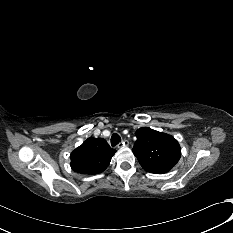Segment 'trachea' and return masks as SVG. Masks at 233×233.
<instances>
[{
  "label": "trachea",
  "instance_id": "trachea-1",
  "mask_svg": "<svg viewBox=\"0 0 233 233\" xmlns=\"http://www.w3.org/2000/svg\"><path fill=\"white\" fill-rule=\"evenodd\" d=\"M120 142H121L120 136L117 133H114L111 137V146L115 147Z\"/></svg>",
  "mask_w": 233,
  "mask_h": 233
}]
</instances>
